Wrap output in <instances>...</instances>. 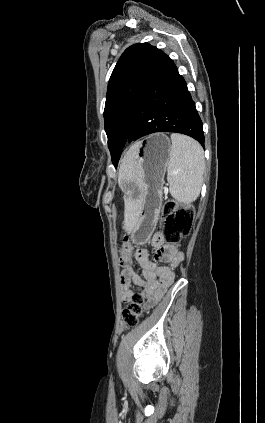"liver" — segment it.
Returning a JSON list of instances; mask_svg holds the SVG:
<instances>
[{
  "label": "liver",
  "instance_id": "1",
  "mask_svg": "<svg viewBox=\"0 0 265 423\" xmlns=\"http://www.w3.org/2000/svg\"><path fill=\"white\" fill-rule=\"evenodd\" d=\"M137 143L133 145L122 159L119 169V182H141V170L136 162ZM141 205L130 201L126 204L124 227L131 232L137 222Z\"/></svg>",
  "mask_w": 265,
  "mask_h": 423
}]
</instances>
